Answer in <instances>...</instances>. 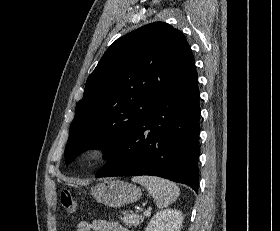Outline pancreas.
<instances>
[{
  "label": "pancreas",
  "instance_id": "cf45deb5",
  "mask_svg": "<svg viewBox=\"0 0 280 231\" xmlns=\"http://www.w3.org/2000/svg\"><path fill=\"white\" fill-rule=\"evenodd\" d=\"M120 219L124 221L125 225H139L141 221H144L143 215H139V213H128V211H122V215H120Z\"/></svg>",
  "mask_w": 280,
  "mask_h": 231
}]
</instances>
